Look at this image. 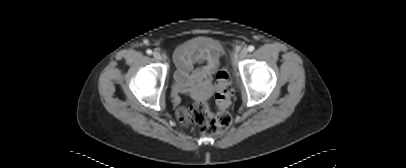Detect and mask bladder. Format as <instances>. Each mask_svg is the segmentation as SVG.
Here are the masks:
<instances>
[{
  "label": "bladder",
  "instance_id": "bladder-1",
  "mask_svg": "<svg viewBox=\"0 0 406 168\" xmlns=\"http://www.w3.org/2000/svg\"><path fill=\"white\" fill-rule=\"evenodd\" d=\"M213 44V41L206 37H196L193 39L188 40L187 42L183 43L179 48L186 49L192 48L200 45H210Z\"/></svg>",
  "mask_w": 406,
  "mask_h": 168
}]
</instances>
